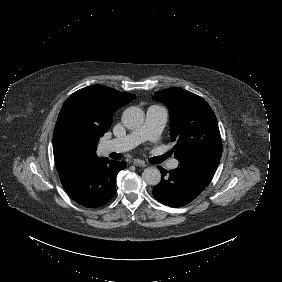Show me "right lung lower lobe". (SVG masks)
Returning a JSON list of instances; mask_svg holds the SVG:
<instances>
[{"label":"right lung lower lobe","mask_w":282,"mask_h":282,"mask_svg":"<svg viewBox=\"0 0 282 282\" xmlns=\"http://www.w3.org/2000/svg\"><path fill=\"white\" fill-rule=\"evenodd\" d=\"M125 167L124 161L97 157L58 173L64 189L74 201L95 208L106 204L115 195L116 176Z\"/></svg>","instance_id":"98d812e1"}]
</instances>
